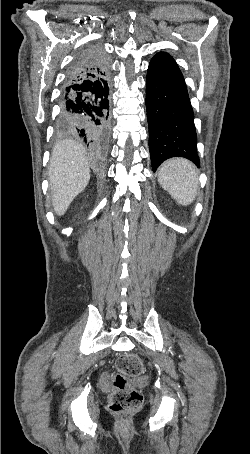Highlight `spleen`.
<instances>
[{
  "label": "spleen",
  "mask_w": 250,
  "mask_h": 454,
  "mask_svg": "<svg viewBox=\"0 0 250 454\" xmlns=\"http://www.w3.org/2000/svg\"><path fill=\"white\" fill-rule=\"evenodd\" d=\"M158 181L183 206L189 205L196 197L198 173L186 159L174 158L164 162L158 172Z\"/></svg>",
  "instance_id": "1"
}]
</instances>
